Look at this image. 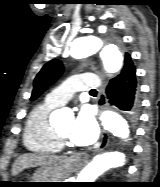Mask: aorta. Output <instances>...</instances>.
Here are the masks:
<instances>
[{"instance_id":"aorta-1","label":"aorta","mask_w":160,"mask_h":187,"mask_svg":"<svg viewBox=\"0 0 160 187\" xmlns=\"http://www.w3.org/2000/svg\"><path fill=\"white\" fill-rule=\"evenodd\" d=\"M71 55L75 58H85L99 54L103 60L104 68L108 73L118 72L123 63V56L119 49L106 43L101 37L90 35L77 38L71 44ZM67 109L57 110L53 113L55 118H65ZM105 130L123 141L130 139V130L127 121L118 113L105 111L101 115ZM125 155L121 150H112L97 155L78 175L76 182H94L104 172L124 165Z\"/></svg>"}]
</instances>
